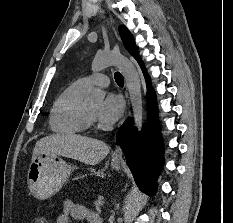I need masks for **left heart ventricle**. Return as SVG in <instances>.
<instances>
[{
  "mask_svg": "<svg viewBox=\"0 0 233 223\" xmlns=\"http://www.w3.org/2000/svg\"><path fill=\"white\" fill-rule=\"evenodd\" d=\"M86 105H87V108H88L90 114L94 118H96V114H97L98 108L100 106V102H91V103H88Z\"/></svg>",
  "mask_w": 233,
  "mask_h": 223,
  "instance_id": "left-heart-ventricle-1",
  "label": "left heart ventricle"
}]
</instances>
